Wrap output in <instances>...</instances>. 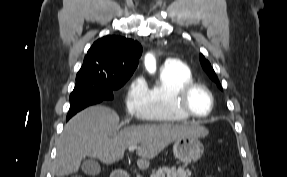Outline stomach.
<instances>
[{
	"label": "stomach",
	"mask_w": 287,
	"mask_h": 177,
	"mask_svg": "<svg viewBox=\"0 0 287 177\" xmlns=\"http://www.w3.org/2000/svg\"><path fill=\"white\" fill-rule=\"evenodd\" d=\"M204 152V146L197 136H184L177 139L173 146L174 156L184 164L198 161Z\"/></svg>",
	"instance_id": "stomach-1"
}]
</instances>
